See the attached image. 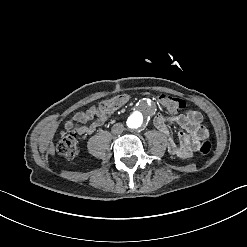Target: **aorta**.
Returning <instances> with one entry per match:
<instances>
[{"instance_id":"762f6f07","label":"aorta","mask_w":247,"mask_h":247,"mask_svg":"<svg viewBox=\"0 0 247 247\" xmlns=\"http://www.w3.org/2000/svg\"><path fill=\"white\" fill-rule=\"evenodd\" d=\"M143 117L139 113H134L132 116L129 117L127 123L128 126L132 129L139 128L142 125Z\"/></svg>"}]
</instances>
